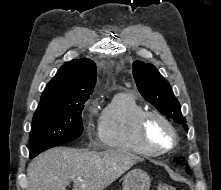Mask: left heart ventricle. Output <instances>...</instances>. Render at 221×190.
<instances>
[{
	"label": "left heart ventricle",
	"mask_w": 221,
	"mask_h": 190,
	"mask_svg": "<svg viewBox=\"0 0 221 190\" xmlns=\"http://www.w3.org/2000/svg\"><path fill=\"white\" fill-rule=\"evenodd\" d=\"M146 133L149 141L156 147L162 148L170 145L172 137L167 127L158 119H150Z\"/></svg>",
	"instance_id": "obj_1"
}]
</instances>
